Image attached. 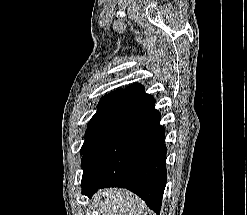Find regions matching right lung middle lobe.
Returning a JSON list of instances; mask_svg holds the SVG:
<instances>
[{"instance_id":"obj_1","label":"right lung middle lobe","mask_w":247,"mask_h":215,"mask_svg":"<svg viewBox=\"0 0 247 215\" xmlns=\"http://www.w3.org/2000/svg\"><path fill=\"white\" fill-rule=\"evenodd\" d=\"M123 93L124 90H116L101 98L98 104V110L96 114L92 117V119L88 123V127L85 133L86 138L94 129V127L98 124V122L110 110V108L120 99Z\"/></svg>"}]
</instances>
